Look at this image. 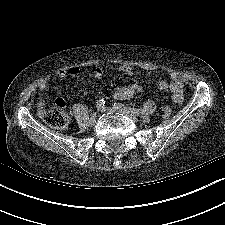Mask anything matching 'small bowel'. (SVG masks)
I'll return each mask as SVG.
<instances>
[{"label":"small bowel","instance_id":"obj_1","mask_svg":"<svg viewBox=\"0 0 225 225\" xmlns=\"http://www.w3.org/2000/svg\"><path fill=\"white\" fill-rule=\"evenodd\" d=\"M119 70L124 73L127 76L133 75V70L129 65H121L119 67ZM80 74V68L77 66H72L67 69H59L55 73V77L57 79H64L65 77H72L75 78ZM92 76L94 79H101L102 77V70L100 68H95L92 71ZM159 88L161 90H165L168 88V84L166 81H160L158 84ZM170 89L172 92V97L175 103H181L183 100V86L180 81V79L176 76L172 77V81L170 84ZM38 90L40 92H47L49 90V84L47 81L43 80L38 84ZM141 92V87L137 84H129L125 86H120L115 89L113 96L114 98L118 100H127L133 97L135 94H138ZM58 100H63L61 98H58ZM38 104L40 108L44 107V100L42 98L39 99Z\"/></svg>","mask_w":225,"mask_h":225}]
</instances>
